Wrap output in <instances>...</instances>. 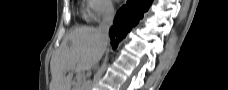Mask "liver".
Segmentation results:
<instances>
[{
  "label": "liver",
  "mask_w": 228,
  "mask_h": 90,
  "mask_svg": "<svg viewBox=\"0 0 228 90\" xmlns=\"http://www.w3.org/2000/svg\"><path fill=\"white\" fill-rule=\"evenodd\" d=\"M107 44L94 27L84 26L72 31L52 56L49 90H71L75 66L90 70L103 56ZM66 72H69L67 76Z\"/></svg>",
  "instance_id": "1"
}]
</instances>
